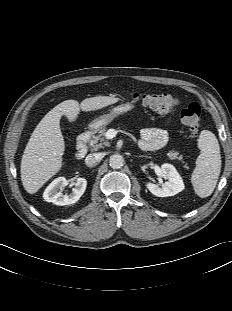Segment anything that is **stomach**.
Here are the masks:
<instances>
[{
    "mask_svg": "<svg viewBox=\"0 0 232 311\" xmlns=\"http://www.w3.org/2000/svg\"><path fill=\"white\" fill-rule=\"evenodd\" d=\"M132 108L133 105L130 103L118 105L113 108L108 114H104L92 120L88 124V128L89 130L96 132L102 127H105L107 124H109L115 117L130 111Z\"/></svg>",
    "mask_w": 232,
    "mask_h": 311,
    "instance_id": "0dacf381",
    "label": "stomach"
}]
</instances>
